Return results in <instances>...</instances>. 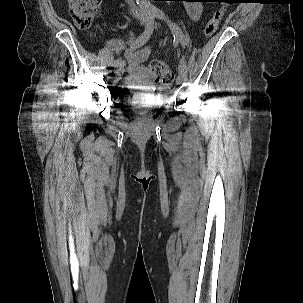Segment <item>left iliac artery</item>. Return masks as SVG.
I'll use <instances>...</instances> for the list:
<instances>
[{
	"mask_svg": "<svg viewBox=\"0 0 303 303\" xmlns=\"http://www.w3.org/2000/svg\"><path fill=\"white\" fill-rule=\"evenodd\" d=\"M144 7H145L147 14L155 16L158 19L165 20L168 23V25L174 35V40L179 41L183 47L186 46L187 39L184 36L181 28L178 25H176L175 23L171 22L162 10L155 7L150 2H146ZM179 67L184 69L186 73L188 72L187 64H186L184 57L181 58Z\"/></svg>",
	"mask_w": 303,
	"mask_h": 303,
	"instance_id": "left-iliac-artery-1",
	"label": "left iliac artery"
}]
</instances>
